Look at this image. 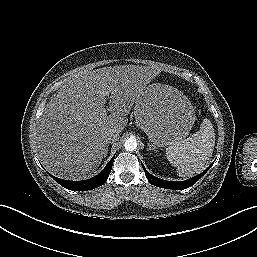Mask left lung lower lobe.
Instances as JSON below:
<instances>
[{
	"label": "left lung lower lobe",
	"instance_id": "obj_1",
	"mask_svg": "<svg viewBox=\"0 0 257 257\" xmlns=\"http://www.w3.org/2000/svg\"><path fill=\"white\" fill-rule=\"evenodd\" d=\"M213 163L205 171H203L199 175H197L195 177H192V178H190L188 180H185V181H177V182H175V181H166V180L159 179V178L151 175L145 169L143 164L142 163L141 164H142V167H143V169L145 171L146 178L148 179V181L152 185L157 186V187H161V188H165V189L182 190V189H186V188H189L192 185H194L210 169V167L213 165Z\"/></svg>",
	"mask_w": 257,
	"mask_h": 257
}]
</instances>
